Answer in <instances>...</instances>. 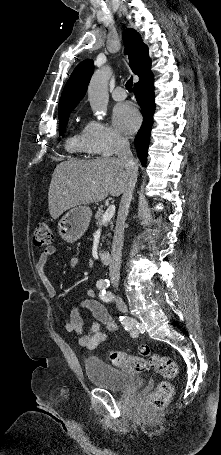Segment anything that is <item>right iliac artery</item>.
I'll return each mask as SVG.
<instances>
[{
    "label": "right iliac artery",
    "mask_w": 221,
    "mask_h": 455,
    "mask_svg": "<svg viewBox=\"0 0 221 455\" xmlns=\"http://www.w3.org/2000/svg\"><path fill=\"white\" fill-rule=\"evenodd\" d=\"M109 285L103 283V282H98L97 283V287L99 289H102V291H105V289L108 287ZM120 321H123L122 324H123V328L125 329L126 332L128 333H131V337H139V332L137 331L136 329V326L134 324L131 323V321H129L128 319L124 318V317H120Z\"/></svg>",
    "instance_id": "82829eb1"
}]
</instances>
